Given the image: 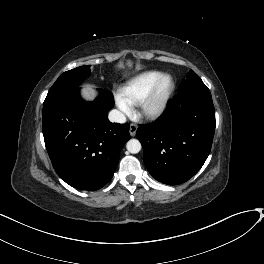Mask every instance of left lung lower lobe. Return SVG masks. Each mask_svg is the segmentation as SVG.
<instances>
[{"label":"left lung lower lobe","instance_id":"0a47b994","mask_svg":"<svg viewBox=\"0 0 264 264\" xmlns=\"http://www.w3.org/2000/svg\"><path fill=\"white\" fill-rule=\"evenodd\" d=\"M214 131L215 110L209 89L179 92L158 120L137 129L151 176L167 185L189 180L206 161Z\"/></svg>","mask_w":264,"mask_h":264}]
</instances>
